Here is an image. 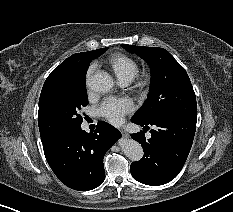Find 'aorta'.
Instances as JSON below:
<instances>
[{
	"mask_svg": "<svg viewBox=\"0 0 233 212\" xmlns=\"http://www.w3.org/2000/svg\"><path fill=\"white\" fill-rule=\"evenodd\" d=\"M89 86L95 92L106 93L113 88L114 81L108 74L97 73L91 76ZM119 145L123 153L131 161H139L142 159L144 154L143 148L137 141L123 138L119 141Z\"/></svg>",
	"mask_w": 233,
	"mask_h": 212,
	"instance_id": "762f6f07",
	"label": "aorta"
}]
</instances>
